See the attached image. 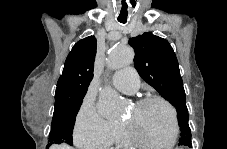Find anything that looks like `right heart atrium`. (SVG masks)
<instances>
[{
  "mask_svg": "<svg viewBox=\"0 0 227 149\" xmlns=\"http://www.w3.org/2000/svg\"><path fill=\"white\" fill-rule=\"evenodd\" d=\"M120 130V123L102 116L90 99L83 100L74 127L78 145L90 149L110 147L117 140Z\"/></svg>",
  "mask_w": 227,
  "mask_h": 149,
  "instance_id": "right-heart-atrium-1",
  "label": "right heart atrium"
}]
</instances>
